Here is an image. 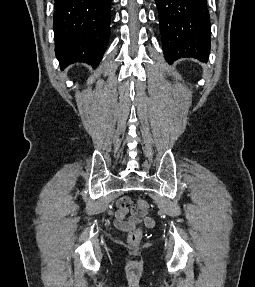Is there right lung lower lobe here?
Returning a JSON list of instances; mask_svg holds the SVG:
<instances>
[{"instance_id": "1", "label": "right lung lower lobe", "mask_w": 255, "mask_h": 287, "mask_svg": "<svg viewBox=\"0 0 255 287\" xmlns=\"http://www.w3.org/2000/svg\"><path fill=\"white\" fill-rule=\"evenodd\" d=\"M111 0H55V52L61 69L74 62L97 67L110 36Z\"/></svg>"}]
</instances>
